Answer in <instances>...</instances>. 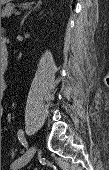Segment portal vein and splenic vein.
I'll return each instance as SVG.
<instances>
[{"label": "portal vein and splenic vein", "instance_id": "18ae733b", "mask_svg": "<svg viewBox=\"0 0 109 170\" xmlns=\"http://www.w3.org/2000/svg\"><path fill=\"white\" fill-rule=\"evenodd\" d=\"M21 12L20 11H16L15 12V15H19Z\"/></svg>", "mask_w": 109, "mask_h": 170}]
</instances>
